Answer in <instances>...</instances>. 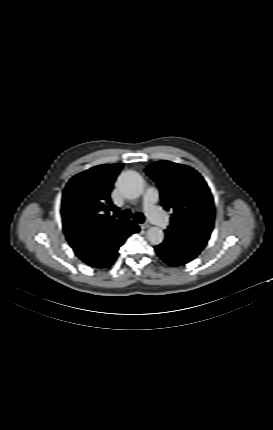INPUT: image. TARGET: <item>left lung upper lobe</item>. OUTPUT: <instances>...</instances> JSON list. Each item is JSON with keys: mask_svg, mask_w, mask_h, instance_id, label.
I'll use <instances>...</instances> for the list:
<instances>
[{"mask_svg": "<svg viewBox=\"0 0 273 430\" xmlns=\"http://www.w3.org/2000/svg\"><path fill=\"white\" fill-rule=\"evenodd\" d=\"M145 171L157 183L164 208L173 212L166 235L181 255L194 259L214 226V202L206 182L193 168L170 161L154 162Z\"/></svg>", "mask_w": 273, "mask_h": 430, "instance_id": "1", "label": "left lung upper lobe"}]
</instances>
